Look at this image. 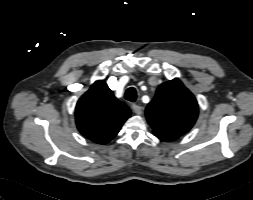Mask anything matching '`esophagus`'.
<instances>
[{"label":"esophagus","mask_w":253,"mask_h":200,"mask_svg":"<svg viewBox=\"0 0 253 200\" xmlns=\"http://www.w3.org/2000/svg\"><path fill=\"white\" fill-rule=\"evenodd\" d=\"M132 110L136 114H141L142 113V107H140L139 105H136V104L132 105Z\"/></svg>","instance_id":"esophagus-1"}]
</instances>
